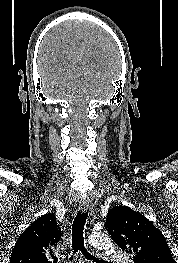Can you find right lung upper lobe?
<instances>
[{
	"label": "right lung upper lobe",
	"instance_id": "right-lung-upper-lobe-1",
	"mask_svg": "<svg viewBox=\"0 0 178 263\" xmlns=\"http://www.w3.org/2000/svg\"><path fill=\"white\" fill-rule=\"evenodd\" d=\"M61 238L55 215L47 213L35 220L18 238L10 263H50Z\"/></svg>",
	"mask_w": 178,
	"mask_h": 263
}]
</instances>
